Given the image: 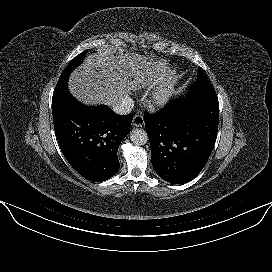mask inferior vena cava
Here are the masks:
<instances>
[{"mask_svg": "<svg viewBox=\"0 0 272 272\" xmlns=\"http://www.w3.org/2000/svg\"><path fill=\"white\" fill-rule=\"evenodd\" d=\"M134 107V101L129 96L122 97L119 101L115 102L111 108L112 110L120 115L129 114Z\"/></svg>", "mask_w": 272, "mask_h": 272, "instance_id": "inferior-vena-cava-1", "label": "inferior vena cava"}]
</instances>
